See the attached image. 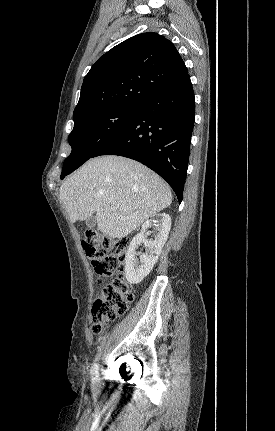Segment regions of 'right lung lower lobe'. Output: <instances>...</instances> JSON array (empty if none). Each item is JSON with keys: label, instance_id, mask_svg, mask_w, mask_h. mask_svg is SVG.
<instances>
[{"label": "right lung lower lobe", "instance_id": "1", "mask_svg": "<svg viewBox=\"0 0 275 431\" xmlns=\"http://www.w3.org/2000/svg\"><path fill=\"white\" fill-rule=\"evenodd\" d=\"M195 120L194 92L187 74L138 107L128 125L93 157L119 155L158 173L182 201Z\"/></svg>", "mask_w": 275, "mask_h": 431}]
</instances>
